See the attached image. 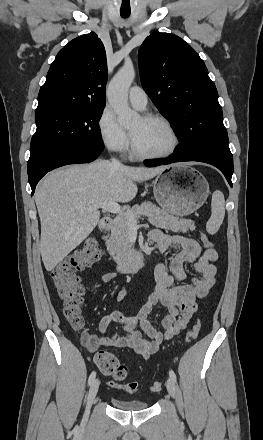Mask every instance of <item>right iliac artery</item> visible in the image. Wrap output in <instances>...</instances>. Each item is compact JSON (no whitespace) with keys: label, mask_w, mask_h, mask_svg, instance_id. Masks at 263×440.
Segmentation results:
<instances>
[{"label":"right iliac artery","mask_w":263,"mask_h":440,"mask_svg":"<svg viewBox=\"0 0 263 440\" xmlns=\"http://www.w3.org/2000/svg\"><path fill=\"white\" fill-rule=\"evenodd\" d=\"M95 377H96V373L93 371L89 376L88 385H91L93 383V381L95 380Z\"/></svg>","instance_id":"right-iliac-artery-1"}]
</instances>
